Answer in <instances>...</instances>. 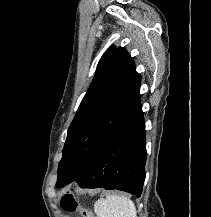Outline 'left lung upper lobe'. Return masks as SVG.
Returning <instances> with one entry per match:
<instances>
[{"instance_id":"1","label":"left lung upper lobe","mask_w":211,"mask_h":217,"mask_svg":"<svg viewBox=\"0 0 211 217\" xmlns=\"http://www.w3.org/2000/svg\"><path fill=\"white\" fill-rule=\"evenodd\" d=\"M140 84L133 58L122 47H110L68 128L58 188L73 181L111 134L142 110Z\"/></svg>"}]
</instances>
